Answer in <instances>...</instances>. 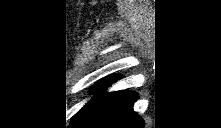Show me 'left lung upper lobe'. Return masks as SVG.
I'll list each match as a JSON object with an SVG mask.
<instances>
[{"label": "left lung upper lobe", "mask_w": 221, "mask_h": 128, "mask_svg": "<svg viewBox=\"0 0 221 128\" xmlns=\"http://www.w3.org/2000/svg\"><path fill=\"white\" fill-rule=\"evenodd\" d=\"M120 77L117 75L109 76L107 78L102 79L100 82H98L93 88H91V91L96 93L99 92L100 94L96 96L94 99H92L88 104H86L79 112H77L73 117L83 112L85 109L90 107L92 104H94L96 101H98L103 95V89H105L108 85H110L112 82L116 81ZM72 117V118H73Z\"/></svg>", "instance_id": "5c2ea615"}]
</instances>
